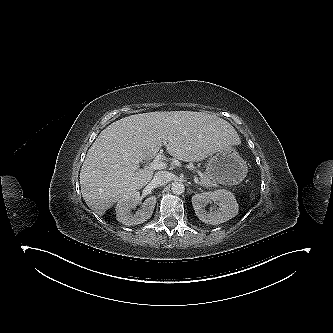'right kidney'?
I'll return each instance as SVG.
<instances>
[{
  "label": "right kidney",
  "mask_w": 333,
  "mask_h": 333,
  "mask_svg": "<svg viewBox=\"0 0 333 333\" xmlns=\"http://www.w3.org/2000/svg\"><path fill=\"white\" fill-rule=\"evenodd\" d=\"M139 198L140 193L133 191L119 199L116 205V219L118 222L126 226H132L141 224L151 217L156 204V197L151 196L147 198L143 202L141 209L132 214L131 211L136 208Z\"/></svg>",
  "instance_id": "ca27d5eb"
}]
</instances>
